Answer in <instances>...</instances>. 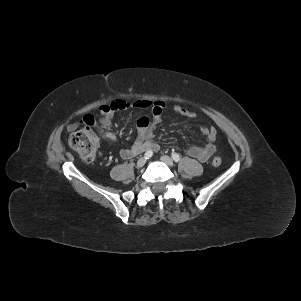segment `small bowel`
Returning <instances> with one entry per match:
<instances>
[{"mask_svg":"<svg viewBox=\"0 0 301 301\" xmlns=\"http://www.w3.org/2000/svg\"><path fill=\"white\" fill-rule=\"evenodd\" d=\"M165 107L163 101H150V100H136L133 102L116 99L109 104L102 105L100 107L101 118L99 122H96L92 115H85L80 124L90 127H96L103 138L108 141H115L116 136L114 133L109 131L113 123L114 114L117 111L127 110L131 108L137 109H150L152 116L151 118L142 116L136 122L137 138L135 142L128 148L120 151V156L123 159H130L135 155L151 150L157 152L159 145L153 139V127L161 122L162 112ZM174 111L182 116L193 118L195 113L176 105ZM78 127V124H71L68 129L74 130ZM201 133L206 137L207 144L205 146H192L187 149V154L201 162L207 161L217 150L215 144L217 139V131L213 127H201Z\"/></svg>","mask_w":301,"mask_h":301,"instance_id":"1","label":"small bowel"}]
</instances>
